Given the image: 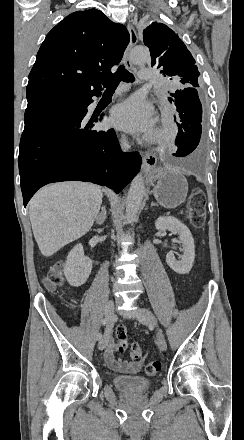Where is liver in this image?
<instances>
[{
    "instance_id": "1",
    "label": "liver",
    "mask_w": 244,
    "mask_h": 440,
    "mask_svg": "<svg viewBox=\"0 0 244 440\" xmlns=\"http://www.w3.org/2000/svg\"><path fill=\"white\" fill-rule=\"evenodd\" d=\"M102 198L99 186L84 182H58L41 188L29 202L30 222L41 254L49 258L85 236Z\"/></svg>"
}]
</instances>
